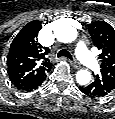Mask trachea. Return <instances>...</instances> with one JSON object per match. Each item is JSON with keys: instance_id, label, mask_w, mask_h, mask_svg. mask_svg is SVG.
Masks as SVG:
<instances>
[{"instance_id": "obj_1", "label": "trachea", "mask_w": 115, "mask_h": 119, "mask_svg": "<svg viewBox=\"0 0 115 119\" xmlns=\"http://www.w3.org/2000/svg\"><path fill=\"white\" fill-rule=\"evenodd\" d=\"M57 57H67L69 59L72 60V55L66 50V49H61L58 54Z\"/></svg>"}]
</instances>
